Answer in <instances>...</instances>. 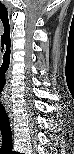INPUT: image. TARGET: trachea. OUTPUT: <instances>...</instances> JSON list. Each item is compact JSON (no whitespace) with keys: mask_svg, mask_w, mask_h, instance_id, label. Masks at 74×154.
<instances>
[{"mask_svg":"<svg viewBox=\"0 0 74 154\" xmlns=\"http://www.w3.org/2000/svg\"><path fill=\"white\" fill-rule=\"evenodd\" d=\"M0 126L1 132L4 140H8L9 135L11 134V127L8 114L4 107L0 111Z\"/></svg>","mask_w":74,"mask_h":154,"instance_id":"trachea-1","label":"trachea"}]
</instances>
